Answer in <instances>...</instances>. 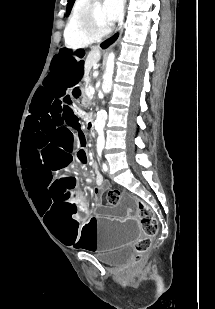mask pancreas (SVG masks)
<instances>
[{"instance_id": "obj_1", "label": "pancreas", "mask_w": 215, "mask_h": 309, "mask_svg": "<svg viewBox=\"0 0 215 309\" xmlns=\"http://www.w3.org/2000/svg\"><path fill=\"white\" fill-rule=\"evenodd\" d=\"M84 84L85 86H84V92L82 94L83 96L82 102L83 104H86V106H90L92 102V98L91 96H88V92H86V88H90V86H92L91 78H88V80H85Z\"/></svg>"}]
</instances>
